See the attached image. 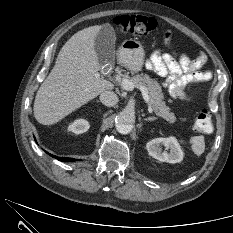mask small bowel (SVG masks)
<instances>
[{"label": "small bowel", "instance_id": "small-bowel-1", "mask_svg": "<svg viewBox=\"0 0 233 233\" xmlns=\"http://www.w3.org/2000/svg\"><path fill=\"white\" fill-rule=\"evenodd\" d=\"M206 60L204 53L192 59L185 54L177 58L173 53L156 51L148 64L158 75L166 77V87L172 97L189 100L185 88L192 84L206 82L211 78L210 71L202 70Z\"/></svg>", "mask_w": 233, "mask_h": 233}]
</instances>
